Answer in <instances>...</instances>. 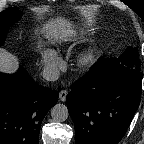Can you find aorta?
Returning <instances> with one entry per match:
<instances>
[{"label":"aorta","mask_w":144,"mask_h":144,"mask_svg":"<svg viewBox=\"0 0 144 144\" xmlns=\"http://www.w3.org/2000/svg\"><path fill=\"white\" fill-rule=\"evenodd\" d=\"M51 116L55 122H64L69 116L67 106L64 104H60V103L56 104L51 109Z\"/></svg>","instance_id":"obj_1"}]
</instances>
